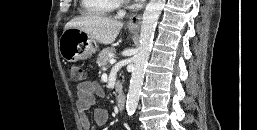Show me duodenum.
<instances>
[{
  "label": "duodenum",
  "instance_id": "duodenum-1",
  "mask_svg": "<svg viewBox=\"0 0 257 130\" xmlns=\"http://www.w3.org/2000/svg\"><path fill=\"white\" fill-rule=\"evenodd\" d=\"M126 99L124 94H119L116 99L117 109L121 112L125 109Z\"/></svg>",
  "mask_w": 257,
  "mask_h": 130
}]
</instances>
